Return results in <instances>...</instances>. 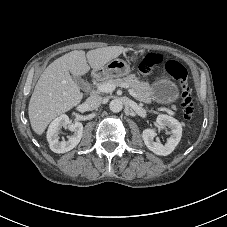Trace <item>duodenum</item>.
<instances>
[{
  "instance_id": "1",
  "label": "duodenum",
  "mask_w": 227,
  "mask_h": 227,
  "mask_svg": "<svg viewBox=\"0 0 227 227\" xmlns=\"http://www.w3.org/2000/svg\"><path fill=\"white\" fill-rule=\"evenodd\" d=\"M96 76H98L97 73H93V74H92V77H93V78H95ZM84 89H85L86 92H88V91L90 90V85H88V84L85 85Z\"/></svg>"
}]
</instances>
